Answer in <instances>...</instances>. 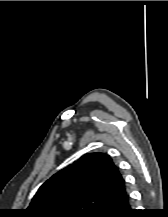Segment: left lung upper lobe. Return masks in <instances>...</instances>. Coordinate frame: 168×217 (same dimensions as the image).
Returning <instances> with one entry per match:
<instances>
[{
	"instance_id": "1",
	"label": "left lung upper lobe",
	"mask_w": 168,
	"mask_h": 217,
	"mask_svg": "<svg viewBox=\"0 0 168 217\" xmlns=\"http://www.w3.org/2000/svg\"><path fill=\"white\" fill-rule=\"evenodd\" d=\"M125 188L108 155L85 154L48 179L26 210L30 217H98Z\"/></svg>"
}]
</instances>
